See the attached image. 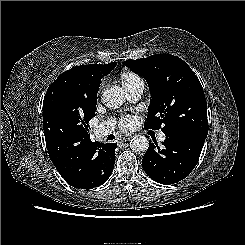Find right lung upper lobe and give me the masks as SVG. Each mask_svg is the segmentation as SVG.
<instances>
[{
  "label": "right lung upper lobe",
  "mask_w": 245,
  "mask_h": 245,
  "mask_svg": "<svg viewBox=\"0 0 245 245\" xmlns=\"http://www.w3.org/2000/svg\"><path fill=\"white\" fill-rule=\"evenodd\" d=\"M115 66L116 62L81 65L57 77L43 101L45 140L77 143L89 136L88 122L95 116L101 79Z\"/></svg>",
  "instance_id": "obj_1"
}]
</instances>
